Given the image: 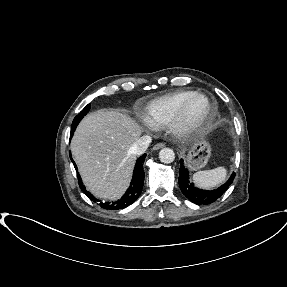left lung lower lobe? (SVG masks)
I'll list each match as a JSON object with an SVG mask.
<instances>
[{"instance_id":"1","label":"left lung lower lobe","mask_w":287,"mask_h":287,"mask_svg":"<svg viewBox=\"0 0 287 287\" xmlns=\"http://www.w3.org/2000/svg\"><path fill=\"white\" fill-rule=\"evenodd\" d=\"M179 187L182 193L195 204H210L220 198L223 193L232 184L235 177L233 173L229 180L215 190H202L194 186L193 183L189 181L188 170L185 168L183 159L180 160V171H179Z\"/></svg>"}]
</instances>
